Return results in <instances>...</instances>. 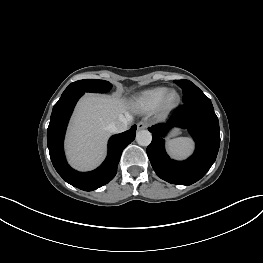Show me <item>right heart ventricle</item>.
<instances>
[{
  "mask_svg": "<svg viewBox=\"0 0 263 263\" xmlns=\"http://www.w3.org/2000/svg\"><path fill=\"white\" fill-rule=\"evenodd\" d=\"M167 91L168 88L166 87L144 90L133 97L132 106L139 112H151L158 108Z\"/></svg>",
  "mask_w": 263,
  "mask_h": 263,
  "instance_id": "e07e8e85",
  "label": "right heart ventricle"
}]
</instances>
